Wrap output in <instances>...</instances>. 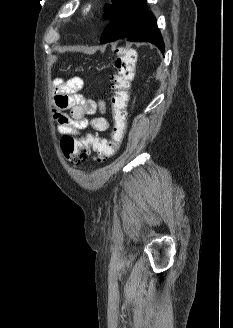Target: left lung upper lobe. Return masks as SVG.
I'll list each match as a JSON object with an SVG mask.
<instances>
[{
	"label": "left lung upper lobe",
	"instance_id": "1",
	"mask_svg": "<svg viewBox=\"0 0 233 328\" xmlns=\"http://www.w3.org/2000/svg\"><path fill=\"white\" fill-rule=\"evenodd\" d=\"M112 4H108L105 8L104 18L112 20L127 3L128 0H111Z\"/></svg>",
	"mask_w": 233,
	"mask_h": 328
}]
</instances>
